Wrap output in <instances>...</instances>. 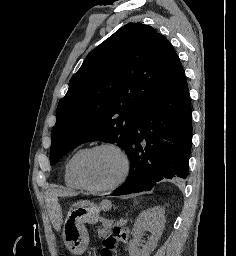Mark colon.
Here are the masks:
<instances>
[{
  "label": "colon",
  "mask_w": 236,
  "mask_h": 256,
  "mask_svg": "<svg viewBox=\"0 0 236 256\" xmlns=\"http://www.w3.org/2000/svg\"><path fill=\"white\" fill-rule=\"evenodd\" d=\"M118 240L119 232L112 230L103 238L98 256H117Z\"/></svg>",
  "instance_id": "colon-1"
}]
</instances>
